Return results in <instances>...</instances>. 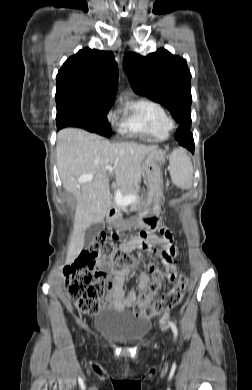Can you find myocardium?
Here are the masks:
<instances>
[{"label":"myocardium","instance_id":"f54148a6","mask_svg":"<svg viewBox=\"0 0 252 390\" xmlns=\"http://www.w3.org/2000/svg\"><path fill=\"white\" fill-rule=\"evenodd\" d=\"M168 124H169V127H172L173 125V120L171 118H168Z\"/></svg>","mask_w":252,"mask_h":390}]
</instances>
